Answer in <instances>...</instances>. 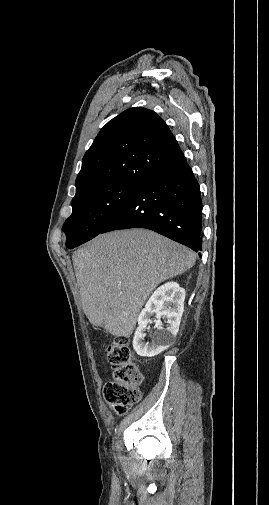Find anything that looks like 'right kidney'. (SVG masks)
Segmentation results:
<instances>
[{"label":"right kidney","instance_id":"ca27d5eb","mask_svg":"<svg viewBox=\"0 0 269 505\" xmlns=\"http://www.w3.org/2000/svg\"><path fill=\"white\" fill-rule=\"evenodd\" d=\"M185 290L176 282H167L157 288L147 301L138 317V328L133 338V348L143 357H153L166 350L173 343L184 311ZM155 316L157 330L152 343H145V331ZM161 319L167 323L162 327Z\"/></svg>","mask_w":269,"mask_h":505}]
</instances>
